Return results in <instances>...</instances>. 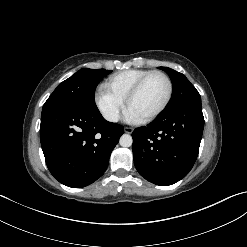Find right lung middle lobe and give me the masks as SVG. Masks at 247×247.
<instances>
[{
    "label": "right lung middle lobe",
    "mask_w": 247,
    "mask_h": 247,
    "mask_svg": "<svg viewBox=\"0 0 247 247\" xmlns=\"http://www.w3.org/2000/svg\"><path fill=\"white\" fill-rule=\"evenodd\" d=\"M112 70L83 68L58 85L45 102L44 107L54 104H71L96 110L94 93L99 81Z\"/></svg>",
    "instance_id": "obj_1"
}]
</instances>
